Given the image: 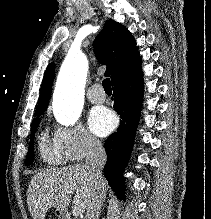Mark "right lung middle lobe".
<instances>
[{"instance_id": "obj_1", "label": "right lung middle lobe", "mask_w": 211, "mask_h": 219, "mask_svg": "<svg viewBox=\"0 0 211 219\" xmlns=\"http://www.w3.org/2000/svg\"><path fill=\"white\" fill-rule=\"evenodd\" d=\"M39 115H41V114H37L36 116H39ZM39 123H40L39 118H35L32 122V126H31V143H30L29 150H28L27 156H26V161H25L26 165H30L34 161V142H33V140H34L35 131H36Z\"/></svg>"}]
</instances>
